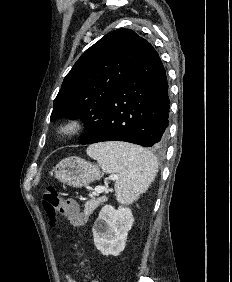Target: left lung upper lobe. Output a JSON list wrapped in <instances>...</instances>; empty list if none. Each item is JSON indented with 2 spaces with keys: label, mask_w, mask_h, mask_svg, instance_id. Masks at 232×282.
Wrapping results in <instances>:
<instances>
[{
  "label": "left lung upper lobe",
  "mask_w": 232,
  "mask_h": 282,
  "mask_svg": "<svg viewBox=\"0 0 232 282\" xmlns=\"http://www.w3.org/2000/svg\"><path fill=\"white\" fill-rule=\"evenodd\" d=\"M147 43L130 29H117L87 49L63 80L50 120L80 118L88 130L98 124Z\"/></svg>",
  "instance_id": "1"
}]
</instances>
